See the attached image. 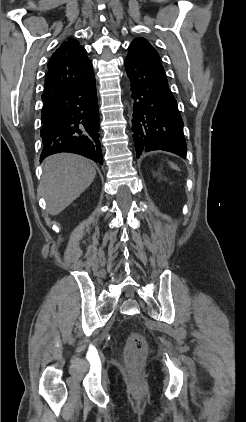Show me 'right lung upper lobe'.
<instances>
[{
	"label": "right lung upper lobe",
	"instance_id": "cb5924a9",
	"mask_svg": "<svg viewBox=\"0 0 246 422\" xmlns=\"http://www.w3.org/2000/svg\"><path fill=\"white\" fill-rule=\"evenodd\" d=\"M47 68L42 100L83 83L94 75L86 50L74 38H69L56 49Z\"/></svg>",
	"mask_w": 246,
	"mask_h": 422
}]
</instances>
